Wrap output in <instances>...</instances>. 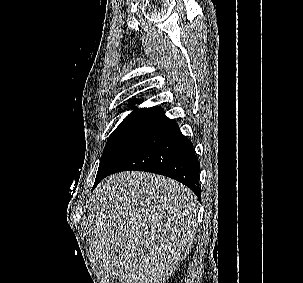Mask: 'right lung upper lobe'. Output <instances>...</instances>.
Instances as JSON below:
<instances>
[{
	"mask_svg": "<svg viewBox=\"0 0 303 283\" xmlns=\"http://www.w3.org/2000/svg\"><path fill=\"white\" fill-rule=\"evenodd\" d=\"M136 102H137L136 100L130 102L128 107H132V105ZM163 114H164V110L161 107L154 106L151 108H140V109L134 108L133 112L128 116H148V117L158 118Z\"/></svg>",
	"mask_w": 303,
	"mask_h": 283,
	"instance_id": "cb5924a9",
	"label": "right lung upper lobe"
}]
</instances>
